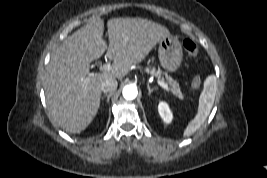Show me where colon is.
<instances>
[{"label":"colon","mask_w":267,"mask_h":178,"mask_svg":"<svg viewBox=\"0 0 267 178\" xmlns=\"http://www.w3.org/2000/svg\"><path fill=\"white\" fill-rule=\"evenodd\" d=\"M182 44H183V48L190 56L192 57L198 56L199 49L193 40L186 38L183 40ZM200 85H201L200 77H195L192 81V87L197 89Z\"/></svg>","instance_id":"5ec220e1"}]
</instances>
